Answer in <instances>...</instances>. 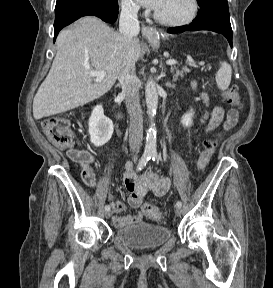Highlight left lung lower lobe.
Returning <instances> with one entry per match:
<instances>
[{
    "label": "left lung lower lobe",
    "instance_id": "1",
    "mask_svg": "<svg viewBox=\"0 0 273 288\" xmlns=\"http://www.w3.org/2000/svg\"><path fill=\"white\" fill-rule=\"evenodd\" d=\"M186 30H210L224 35L232 47V28L230 24V16L228 2H217L198 10L197 17L191 24L169 28L168 33L176 34Z\"/></svg>",
    "mask_w": 273,
    "mask_h": 288
}]
</instances>
